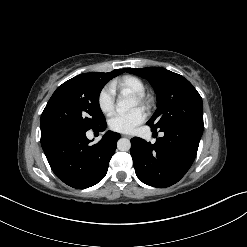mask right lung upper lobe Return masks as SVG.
Segmentation results:
<instances>
[{
	"label": "right lung upper lobe",
	"mask_w": 247,
	"mask_h": 247,
	"mask_svg": "<svg viewBox=\"0 0 247 247\" xmlns=\"http://www.w3.org/2000/svg\"><path fill=\"white\" fill-rule=\"evenodd\" d=\"M123 73V70L121 69H116L114 71L108 72V73H100L103 77L112 79L113 77Z\"/></svg>",
	"instance_id": "1"
}]
</instances>
